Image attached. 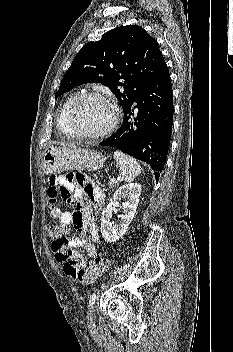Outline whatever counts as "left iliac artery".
Masks as SVG:
<instances>
[{
  "mask_svg": "<svg viewBox=\"0 0 233 352\" xmlns=\"http://www.w3.org/2000/svg\"><path fill=\"white\" fill-rule=\"evenodd\" d=\"M96 298H97V295L95 293L90 296V298H89V305L90 306L95 303Z\"/></svg>",
  "mask_w": 233,
  "mask_h": 352,
  "instance_id": "left-iliac-artery-1",
  "label": "left iliac artery"
}]
</instances>
